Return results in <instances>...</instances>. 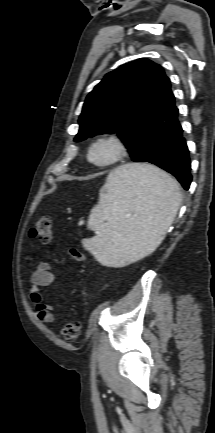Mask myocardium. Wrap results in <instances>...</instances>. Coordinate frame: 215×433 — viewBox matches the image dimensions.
Here are the masks:
<instances>
[{
    "mask_svg": "<svg viewBox=\"0 0 215 433\" xmlns=\"http://www.w3.org/2000/svg\"><path fill=\"white\" fill-rule=\"evenodd\" d=\"M101 144H109L113 147L112 156L106 161H96L92 158L93 150ZM128 149L124 140L117 134H103L95 138L87 149L88 162L98 168H107L121 162L127 155Z\"/></svg>",
    "mask_w": 215,
    "mask_h": 433,
    "instance_id": "1",
    "label": "myocardium"
}]
</instances>
